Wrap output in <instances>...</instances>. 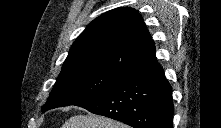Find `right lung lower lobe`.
Masks as SVG:
<instances>
[{"mask_svg": "<svg viewBox=\"0 0 221 128\" xmlns=\"http://www.w3.org/2000/svg\"><path fill=\"white\" fill-rule=\"evenodd\" d=\"M76 106L134 128H173L172 88L156 59Z\"/></svg>", "mask_w": 221, "mask_h": 128, "instance_id": "obj_1", "label": "right lung lower lobe"}]
</instances>
